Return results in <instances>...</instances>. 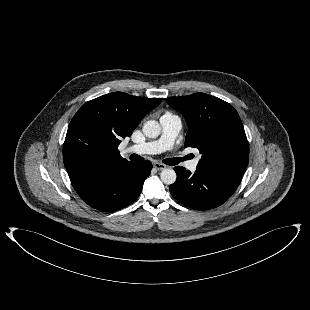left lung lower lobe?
Here are the masks:
<instances>
[{"label":"left lung lower lobe","instance_id":"1","mask_svg":"<svg viewBox=\"0 0 310 310\" xmlns=\"http://www.w3.org/2000/svg\"><path fill=\"white\" fill-rule=\"evenodd\" d=\"M177 179L170 185L172 196L182 204L197 210H208L226 202L235 192L241 179L204 169L194 174L184 167L174 168Z\"/></svg>","mask_w":310,"mask_h":310}]
</instances>
